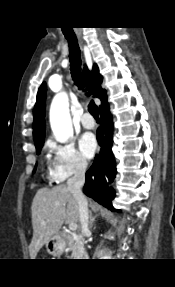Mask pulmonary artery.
<instances>
[{
  "instance_id": "pulmonary-artery-1",
  "label": "pulmonary artery",
  "mask_w": 175,
  "mask_h": 287,
  "mask_svg": "<svg viewBox=\"0 0 175 287\" xmlns=\"http://www.w3.org/2000/svg\"><path fill=\"white\" fill-rule=\"evenodd\" d=\"M80 121H81L82 126L87 129H92L95 126V121L89 113H85L81 117Z\"/></svg>"
}]
</instances>
